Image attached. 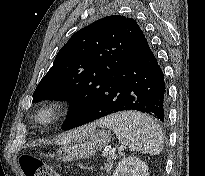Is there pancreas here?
Segmentation results:
<instances>
[{"label":"pancreas","mask_w":205,"mask_h":176,"mask_svg":"<svg viewBox=\"0 0 205 176\" xmlns=\"http://www.w3.org/2000/svg\"><path fill=\"white\" fill-rule=\"evenodd\" d=\"M116 158L117 157L115 155L107 156L104 164V168H101V170L106 171V173H110Z\"/></svg>","instance_id":"pancreas-1"}]
</instances>
